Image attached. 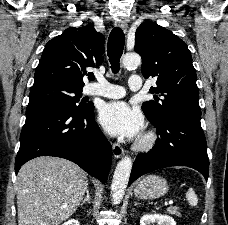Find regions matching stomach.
Here are the masks:
<instances>
[{
  "label": "stomach",
  "instance_id": "0dacf381",
  "mask_svg": "<svg viewBox=\"0 0 228 225\" xmlns=\"http://www.w3.org/2000/svg\"><path fill=\"white\" fill-rule=\"evenodd\" d=\"M169 191V185L166 179L157 177V175H148L141 181H138L134 195L138 199H159Z\"/></svg>",
  "mask_w": 228,
  "mask_h": 225
}]
</instances>
